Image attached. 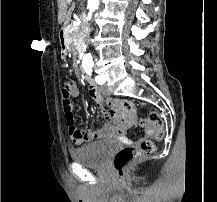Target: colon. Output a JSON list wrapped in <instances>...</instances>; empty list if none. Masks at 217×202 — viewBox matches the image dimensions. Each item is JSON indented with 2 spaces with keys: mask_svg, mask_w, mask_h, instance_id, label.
Here are the masks:
<instances>
[{
  "mask_svg": "<svg viewBox=\"0 0 217 202\" xmlns=\"http://www.w3.org/2000/svg\"><path fill=\"white\" fill-rule=\"evenodd\" d=\"M56 96H61V104L64 112L65 122L69 131H74V118L71 111V86L69 84H64L60 91H56ZM151 122H148L145 118H139L138 122L142 126H151L153 123L158 129V133L155 134L156 138H163V129L165 127L164 121L160 119L158 112L153 111L150 114ZM155 150V144L151 140H145L139 147L125 146L120 151H118L113 157V165L118 170L119 177H126V168L142 158L143 156L150 155Z\"/></svg>",
  "mask_w": 217,
  "mask_h": 202,
  "instance_id": "colon-1",
  "label": "colon"
}]
</instances>
